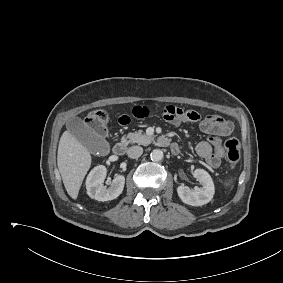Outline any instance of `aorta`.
Returning <instances> with one entry per match:
<instances>
[{
	"instance_id": "1",
	"label": "aorta",
	"mask_w": 283,
	"mask_h": 283,
	"mask_svg": "<svg viewBox=\"0 0 283 283\" xmlns=\"http://www.w3.org/2000/svg\"><path fill=\"white\" fill-rule=\"evenodd\" d=\"M151 160L158 162L161 161L164 157L162 150L154 149L150 154Z\"/></svg>"
}]
</instances>
